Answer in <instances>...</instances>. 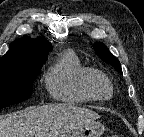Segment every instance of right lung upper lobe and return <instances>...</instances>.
<instances>
[{"label":"right lung upper lobe","instance_id":"1","mask_svg":"<svg viewBox=\"0 0 144 137\" xmlns=\"http://www.w3.org/2000/svg\"><path fill=\"white\" fill-rule=\"evenodd\" d=\"M52 45L44 38L24 37L15 40L9 51L0 58V66L45 62Z\"/></svg>","mask_w":144,"mask_h":137}]
</instances>
